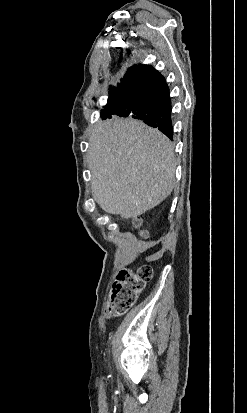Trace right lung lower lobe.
<instances>
[{"label": "right lung lower lobe", "mask_w": 247, "mask_h": 413, "mask_svg": "<svg viewBox=\"0 0 247 413\" xmlns=\"http://www.w3.org/2000/svg\"><path fill=\"white\" fill-rule=\"evenodd\" d=\"M128 83L135 88V98H109L101 112V118H111L112 115L130 116L157 127L172 140L171 100L164 77L156 70L140 71Z\"/></svg>", "instance_id": "obj_1"}]
</instances>
